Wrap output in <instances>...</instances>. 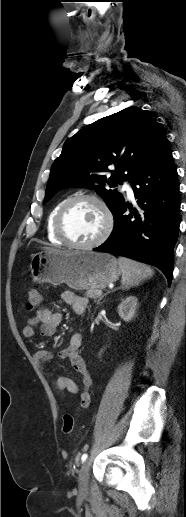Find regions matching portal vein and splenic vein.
<instances>
[{
	"mask_svg": "<svg viewBox=\"0 0 186 517\" xmlns=\"http://www.w3.org/2000/svg\"><path fill=\"white\" fill-rule=\"evenodd\" d=\"M102 293H103V292H102L101 290H98V291H97V295H99V296H101V295H102Z\"/></svg>",
	"mask_w": 186,
	"mask_h": 517,
	"instance_id": "portal-vein-and-splenic-vein-1",
	"label": "portal vein and splenic vein"
}]
</instances>
